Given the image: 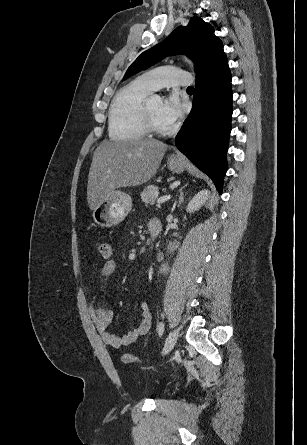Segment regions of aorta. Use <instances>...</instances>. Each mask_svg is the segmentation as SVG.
<instances>
[{"mask_svg":"<svg viewBox=\"0 0 307 445\" xmlns=\"http://www.w3.org/2000/svg\"><path fill=\"white\" fill-rule=\"evenodd\" d=\"M184 60H186V62H190V64H192L191 60H189V58H187V56H184ZM149 102H153V98H150Z\"/></svg>","mask_w":307,"mask_h":445,"instance_id":"762f6f07","label":"aorta"}]
</instances>
